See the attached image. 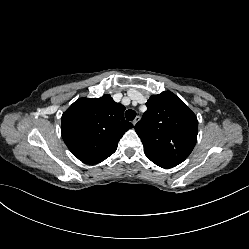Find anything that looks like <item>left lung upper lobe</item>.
I'll return each mask as SVG.
<instances>
[{"mask_svg": "<svg viewBox=\"0 0 249 249\" xmlns=\"http://www.w3.org/2000/svg\"><path fill=\"white\" fill-rule=\"evenodd\" d=\"M146 106L147 111L135 125L145 155L162 168L179 165L196 144V115L172 92L152 95Z\"/></svg>", "mask_w": 249, "mask_h": 249, "instance_id": "1", "label": "left lung upper lobe"}]
</instances>
